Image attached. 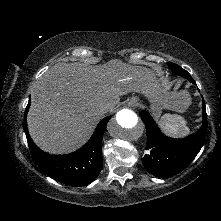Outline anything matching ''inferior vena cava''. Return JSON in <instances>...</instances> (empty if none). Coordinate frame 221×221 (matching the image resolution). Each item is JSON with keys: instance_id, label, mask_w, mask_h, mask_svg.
I'll list each match as a JSON object with an SVG mask.
<instances>
[{"instance_id": "1", "label": "inferior vena cava", "mask_w": 221, "mask_h": 221, "mask_svg": "<svg viewBox=\"0 0 221 221\" xmlns=\"http://www.w3.org/2000/svg\"><path fill=\"white\" fill-rule=\"evenodd\" d=\"M108 110H109V107L107 105H103L100 107L99 112L101 114H103V113L107 112Z\"/></svg>"}]
</instances>
